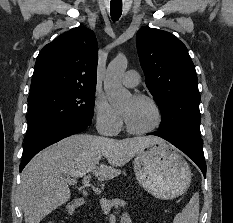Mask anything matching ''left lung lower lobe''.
Listing matches in <instances>:
<instances>
[{
  "instance_id": "obj_1",
  "label": "left lung lower lobe",
  "mask_w": 233,
  "mask_h": 223,
  "mask_svg": "<svg viewBox=\"0 0 233 223\" xmlns=\"http://www.w3.org/2000/svg\"><path fill=\"white\" fill-rule=\"evenodd\" d=\"M148 135H156L172 143L191 158L201 169L204 177H206V163L203 153V140L201 138L183 135H168L158 131L148 133Z\"/></svg>"
}]
</instances>
